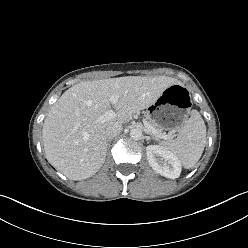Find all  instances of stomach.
I'll return each instance as SVG.
<instances>
[{"mask_svg":"<svg viewBox=\"0 0 248 248\" xmlns=\"http://www.w3.org/2000/svg\"><path fill=\"white\" fill-rule=\"evenodd\" d=\"M191 109L188 90L182 84L168 87L146 110L147 119L159 128L176 132L187 122Z\"/></svg>","mask_w":248,"mask_h":248,"instance_id":"0dacf381","label":"stomach"}]
</instances>
